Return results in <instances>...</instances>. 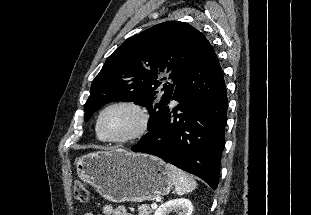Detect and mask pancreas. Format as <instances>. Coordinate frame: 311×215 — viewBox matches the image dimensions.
<instances>
[{"mask_svg": "<svg viewBox=\"0 0 311 215\" xmlns=\"http://www.w3.org/2000/svg\"><path fill=\"white\" fill-rule=\"evenodd\" d=\"M152 209L148 205H141L138 208V215H150Z\"/></svg>", "mask_w": 311, "mask_h": 215, "instance_id": "obj_1", "label": "pancreas"}]
</instances>
